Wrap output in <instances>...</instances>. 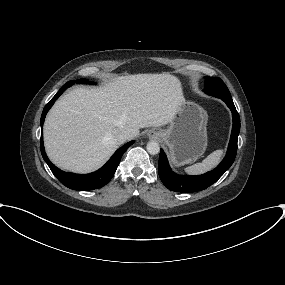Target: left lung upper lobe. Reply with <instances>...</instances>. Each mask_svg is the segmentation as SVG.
I'll list each match as a JSON object with an SVG mask.
<instances>
[{"label":"left lung upper lobe","instance_id":"5c2ea615","mask_svg":"<svg viewBox=\"0 0 285 285\" xmlns=\"http://www.w3.org/2000/svg\"><path fill=\"white\" fill-rule=\"evenodd\" d=\"M205 90L209 95H213L223 101H232L230 92L225 83L220 78L205 77Z\"/></svg>","mask_w":285,"mask_h":285}]
</instances>
